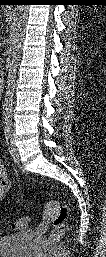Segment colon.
<instances>
[{
  "label": "colon",
  "mask_w": 106,
  "mask_h": 257,
  "mask_svg": "<svg viewBox=\"0 0 106 257\" xmlns=\"http://www.w3.org/2000/svg\"><path fill=\"white\" fill-rule=\"evenodd\" d=\"M48 210H53L52 224L53 230L50 236L52 242L58 241L65 233V223L68 216L69 208L65 205L56 206L54 204H49ZM30 219L28 216H23L18 220L12 222L10 227L13 230H23L29 225Z\"/></svg>",
  "instance_id": "5ec220e1"
}]
</instances>
